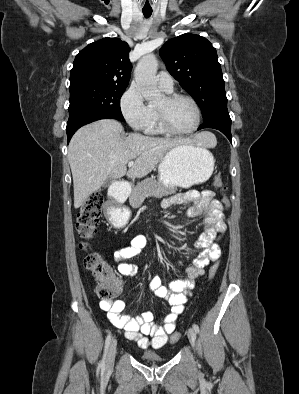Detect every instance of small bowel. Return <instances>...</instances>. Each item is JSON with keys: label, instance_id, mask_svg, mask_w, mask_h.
Wrapping results in <instances>:
<instances>
[{"label": "small bowel", "instance_id": "c3829d8e", "mask_svg": "<svg viewBox=\"0 0 299 394\" xmlns=\"http://www.w3.org/2000/svg\"><path fill=\"white\" fill-rule=\"evenodd\" d=\"M193 204L187 209L190 218L202 216L203 233L194 242V247L201 250L192 264L186 267L185 276L164 283L162 278L155 276L150 282V289L155 296L166 300L170 311L161 323L154 321L152 312H144L132 317L124 312L125 303L122 300L102 301L100 307L107 313L109 321L117 328L125 331V336L135 341L142 349L163 347L169 336L174 332L179 315L184 310V304L191 295L199 277L205 274V267L216 262L221 256L218 241L226 232L223 205L215 198L214 192L191 190L177 194L163 202L165 208L172 205ZM147 245V237L139 234L130 243L114 252L118 263L117 270L123 276L136 274V267L129 261L137 257ZM147 336H150L149 339Z\"/></svg>", "mask_w": 299, "mask_h": 394}]
</instances>
